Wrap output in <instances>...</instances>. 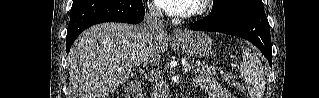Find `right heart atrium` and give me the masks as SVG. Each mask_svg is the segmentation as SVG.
<instances>
[{
    "mask_svg": "<svg viewBox=\"0 0 319 98\" xmlns=\"http://www.w3.org/2000/svg\"><path fill=\"white\" fill-rule=\"evenodd\" d=\"M150 11L155 15H158L160 12V10L157 7H151Z\"/></svg>",
    "mask_w": 319,
    "mask_h": 98,
    "instance_id": "1",
    "label": "right heart atrium"
}]
</instances>
